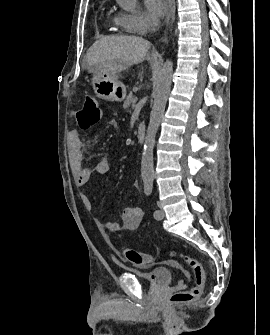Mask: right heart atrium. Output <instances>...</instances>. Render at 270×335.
<instances>
[{
  "instance_id": "d8ad5b80",
  "label": "right heart atrium",
  "mask_w": 270,
  "mask_h": 335,
  "mask_svg": "<svg viewBox=\"0 0 270 335\" xmlns=\"http://www.w3.org/2000/svg\"><path fill=\"white\" fill-rule=\"evenodd\" d=\"M121 17L128 30L139 35H146L152 29V21L143 11L122 13Z\"/></svg>"
}]
</instances>
